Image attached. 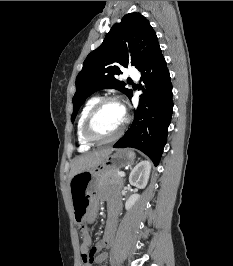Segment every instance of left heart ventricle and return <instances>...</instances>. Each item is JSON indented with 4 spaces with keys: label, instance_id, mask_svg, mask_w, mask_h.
I'll return each instance as SVG.
<instances>
[{
    "label": "left heart ventricle",
    "instance_id": "obj_1",
    "mask_svg": "<svg viewBox=\"0 0 233 266\" xmlns=\"http://www.w3.org/2000/svg\"><path fill=\"white\" fill-rule=\"evenodd\" d=\"M124 118L122 107L119 104L106 103L95 116L92 131L99 138L110 137L120 128Z\"/></svg>",
    "mask_w": 233,
    "mask_h": 266
}]
</instances>
